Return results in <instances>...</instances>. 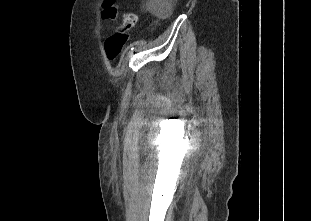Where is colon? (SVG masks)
<instances>
[{
    "instance_id": "5ec220e1",
    "label": "colon",
    "mask_w": 311,
    "mask_h": 221,
    "mask_svg": "<svg viewBox=\"0 0 311 221\" xmlns=\"http://www.w3.org/2000/svg\"><path fill=\"white\" fill-rule=\"evenodd\" d=\"M105 6L100 10V17L105 20H114L115 13L118 12V2L119 0H105ZM136 21V16L132 13H127L123 17L122 23L118 28H122L123 24H132L134 26ZM128 36H108L105 41V55L110 60L113 61L122 51L123 47L127 42Z\"/></svg>"
}]
</instances>
